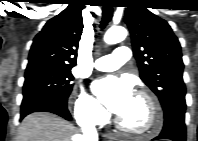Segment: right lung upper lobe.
I'll return each mask as SVG.
<instances>
[{
	"mask_svg": "<svg viewBox=\"0 0 198 141\" xmlns=\"http://www.w3.org/2000/svg\"><path fill=\"white\" fill-rule=\"evenodd\" d=\"M83 6L79 2L70 3L45 24L33 40L26 72L39 69L71 70L76 65L83 30Z\"/></svg>",
	"mask_w": 198,
	"mask_h": 141,
	"instance_id": "right-lung-upper-lobe-1",
	"label": "right lung upper lobe"
}]
</instances>
